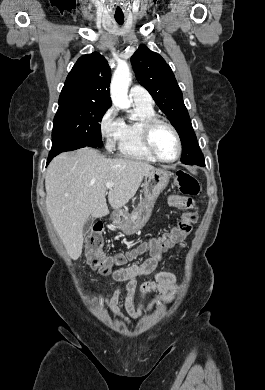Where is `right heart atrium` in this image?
Wrapping results in <instances>:
<instances>
[{"mask_svg":"<svg viewBox=\"0 0 265 390\" xmlns=\"http://www.w3.org/2000/svg\"><path fill=\"white\" fill-rule=\"evenodd\" d=\"M121 126L122 119L118 117L117 109L112 105L103 113L99 121V131L108 148L114 146Z\"/></svg>","mask_w":265,"mask_h":390,"instance_id":"d8ad5b80","label":"right heart atrium"}]
</instances>
